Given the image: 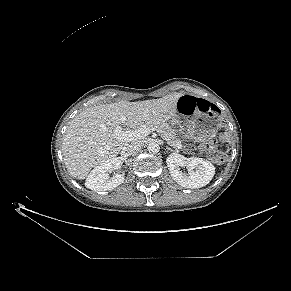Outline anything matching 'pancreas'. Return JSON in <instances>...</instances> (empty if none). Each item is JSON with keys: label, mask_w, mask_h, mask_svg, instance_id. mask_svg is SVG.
<instances>
[{"label": "pancreas", "mask_w": 291, "mask_h": 291, "mask_svg": "<svg viewBox=\"0 0 291 291\" xmlns=\"http://www.w3.org/2000/svg\"><path fill=\"white\" fill-rule=\"evenodd\" d=\"M146 127L155 130L173 148H177V145L181 143L175 130L165 122L149 124Z\"/></svg>", "instance_id": "cf45deb5"}]
</instances>
